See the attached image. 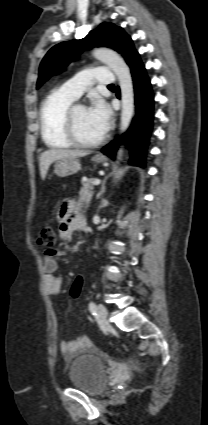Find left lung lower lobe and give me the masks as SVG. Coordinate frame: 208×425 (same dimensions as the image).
Wrapping results in <instances>:
<instances>
[{"label":"left lung lower lobe","mask_w":208,"mask_h":425,"mask_svg":"<svg viewBox=\"0 0 208 425\" xmlns=\"http://www.w3.org/2000/svg\"><path fill=\"white\" fill-rule=\"evenodd\" d=\"M130 69L134 83L137 114L132 128L122 138L127 141L131 151L129 162L144 167L153 120V93L144 65L139 57L132 62ZM117 97L120 98L119 88L117 89ZM116 149L117 143L112 142L102 148L101 151L105 155L114 158Z\"/></svg>","instance_id":"1"}]
</instances>
